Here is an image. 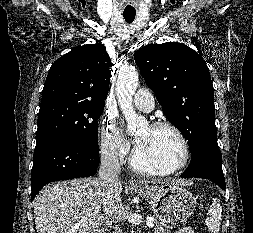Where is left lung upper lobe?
Masks as SVG:
<instances>
[{
  "label": "left lung upper lobe",
  "mask_w": 253,
  "mask_h": 233,
  "mask_svg": "<svg viewBox=\"0 0 253 233\" xmlns=\"http://www.w3.org/2000/svg\"><path fill=\"white\" fill-rule=\"evenodd\" d=\"M134 57L164 114L188 140L192 155L202 147L219 148L214 88L202 56L182 43L167 42L147 45Z\"/></svg>",
  "instance_id": "obj_1"
}]
</instances>
